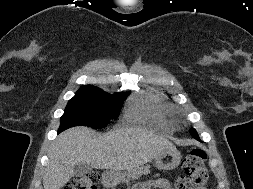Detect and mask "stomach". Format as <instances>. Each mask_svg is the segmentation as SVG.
<instances>
[{
  "label": "stomach",
  "instance_id": "0dacf381",
  "mask_svg": "<svg viewBox=\"0 0 253 189\" xmlns=\"http://www.w3.org/2000/svg\"><path fill=\"white\" fill-rule=\"evenodd\" d=\"M181 161V154L177 149L166 150L154 158V165L160 170H172L176 168ZM126 172L106 171L103 174V182L106 185H116L126 180Z\"/></svg>",
  "mask_w": 253,
  "mask_h": 189
}]
</instances>
